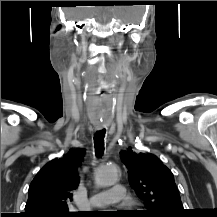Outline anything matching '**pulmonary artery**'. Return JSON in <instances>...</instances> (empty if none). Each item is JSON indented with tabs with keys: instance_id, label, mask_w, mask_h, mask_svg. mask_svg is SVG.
Returning a JSON list of instances; mask_svg holds the SVG:
<instances>
[{
	"instance_id": "obj_1",
	"label": "pulmonary artery",
	"mask_w": 217,
	"mask_h": 217,
	"mask_svg": "<svg viewBox=\"0 0 217 217\" xmlns=\"http://www.w3.org/2000/svg\"><path fill=\"white\" fill-rule=\"evenodd\" d=\"M125 197V188L121 185H115L108 191H103L92 195L89 203L92 207L101 208L120 202Z\"/></svg>"
}]
</instances>
